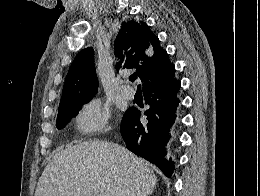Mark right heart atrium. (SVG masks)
<instances>
[{
	"instance_id": "d8ad5b80",
	"label": "right heart atrium",
	"mask_w": 260,
	"mask_h": 196,
	"mask_svg": "<svg viewBox=\"0 0 260 196\" xmlns=\"http://www.w3.org/2000/svg\"><path fill=\"white\" fill-rule=\"evenodd\" d=\"M109 118L108 109L102 107L98 98L86 102L75 117V126L82 133H92L102 130ZM82 143H106L95 138H87ZM127 163V162H126Z\"/></svg>"
}]
</instances>
